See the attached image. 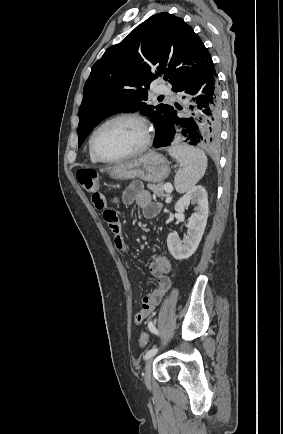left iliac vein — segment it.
I'll list each match as a JSON object with an SVG mask.
<instances>
[{"instance_id": "4c4485c4", "label": "left iliac vein", "mask_w": 283, "mask_h": 434, "mask_svg": "<svg viewBox=\"0 0 283 434\" xmlns=\"http://www.w3.org/2000/svg\"><path fill=\"white\" fill-rule=\"evenodd\" d=\"M152 362H153V358L150 357L146 362L145 370L143 373L144 382L147 388L151 387Z\"/></svg>"}]
</instances>
